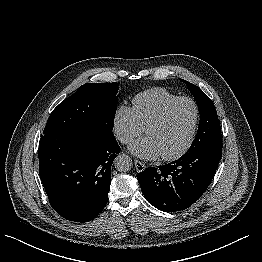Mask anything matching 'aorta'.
Wrapping results in <instances>:
<instances>
[{
    "label": "aorta",
    "instance_id": "1",
    "mask_svg": "<svg viewBox=\"0 0 262 262\" xmlns=\"http://www.w3.org/2000/svg\"><path fill=\"white\" fill-rule=\"evenodd\" d=\"M114 165L118 171L126 172L132 168V159L126 154H121L116 157Z\"/></svg>",
    "mask_w": 262,
    "mask_h": 262
}]
</instances>
